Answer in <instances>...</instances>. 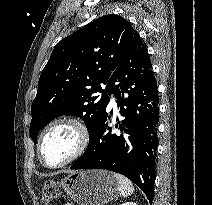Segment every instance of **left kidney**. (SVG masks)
<instances>
[{"label":"left kidney","mask_w":212,"mask_h":205,"mask_svg":"<svg viewBox=\"0 0 212 205\" xmlns=\"http://www.w3.org/2000/svg\"><path fill=\"white\" fill-rule=\"evenodd\" d=\"M121 205H137V204L134 203V202H126V203H123V204H121Z\"/></svg>","instance_id":"5707ae66"}]
</instances>
